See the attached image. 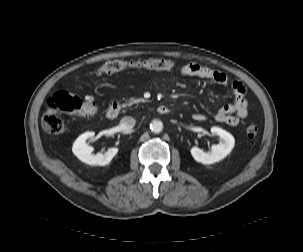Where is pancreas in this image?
Listing matches in <instances>:
<instances>
[{
  "instance_id": "cf45deb5",
  "label": "pancreas",
  "mask_w": 303,
  "mask_h": 252,
  "mask_svg": "<svg viewBox=\"0 0 303 252\" xmlns=\"http://www.w3.org/2000/svg\"><path fill=\"white\" fill-rule=\"evenodd\" d=\"M140 102H143V99H136V98H131L127 103L126 106H132L133 104H138Z\"/></svg>"
}]
</instances>
